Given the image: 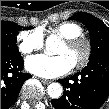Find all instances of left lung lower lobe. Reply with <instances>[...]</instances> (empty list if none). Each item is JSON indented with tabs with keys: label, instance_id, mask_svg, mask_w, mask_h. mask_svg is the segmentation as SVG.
<instances>
[{
	"label": "left lung lower lobe",
	"instance_id": "left-lung-lower-lobe-1",
	"mask_svg": "<svg viewBox=\"0 0 109 109\" xmlns=\"http://www.w3.org/2000/svg\"><path fill=\"white\" fill-rule=\"evenodd\" d=\"M58 81L65 90L61 98L52 100L55 109H99L109 97V55L90 60L81 72ZM74 87L81 90V98L71 104L65 92Z\"/></svg>",
	"mask_w": 109,
	"mask_h": 109
}]
</instances>
